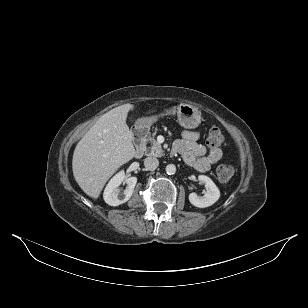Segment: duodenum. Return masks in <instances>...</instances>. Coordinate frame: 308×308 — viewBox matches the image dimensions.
Wrapping results in <instances>:
<instances>
[{"label": "duodenum", "instance_id": "duodenum-1", "mask_svg": "<svg viewBox=\"0 0 308 308\" xmlns=\"http://www.w3.org/2000/svg\"><path fill=\"white\" fill-rule=\"evenodd\" d=\"M148 132V127L145 124L138 125L134 130V142H135V152L134 156L140 158L144 152V138ZM174 151V150H173Z\"/></svg>", "mask_w": 308, "mask_h": 308}]
</instances>
